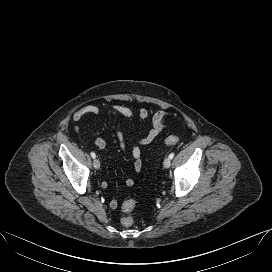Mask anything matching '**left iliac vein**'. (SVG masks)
<instances>
[{"mask_svg":"<svg viewBox=\"0 0 272 272\" xmlns=\"http://www.w3.org/2000/svg\"><path fill=\"white\" fill-rule=\"evenodd\" d=\"M170 165H171V159H170L169 157L165 158V159H164V162H163V166H164L165 168H169Z\"/></svg>","mask_w":272,"mask_h":272,"instance_id":"left-iliac-vein-1","label":"left iliac vein"}]
</instances>
